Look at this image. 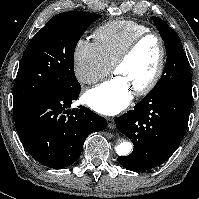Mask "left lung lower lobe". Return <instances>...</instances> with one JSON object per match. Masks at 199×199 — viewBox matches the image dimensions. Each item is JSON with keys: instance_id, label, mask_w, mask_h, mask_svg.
Instances as JSON below:
<instances>
[{"instance_id": "left-lung-lower-lobe-1", "label": "left lung lower lobe", "mask_w": 199, "mask_h": 199, "mask_svg": "<svg viewBox=\"0 0 199 199\" xmlns=\"http://www.w3.org/2000/svg\"><path fill=\"white\" fill-rule=\"evenodd\" d=\"M192 106V90L179 89L159 97H144L133 110L116 119V127L134 144L118 162L131 171L164 163L182 141Z\"/></svg>"}]
</instances>
